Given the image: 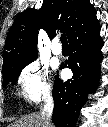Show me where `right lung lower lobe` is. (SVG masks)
I'll list each match as a JSON object with an SVG mask.
<instances>
[{
	"label": "right lung lower lobe",
	"mask_w": 108,
	"mask_h": 127,
	"mask_svg": "<svg viewBox=\"0 0 108 127\" xmlns=\"http://www.w3.org/2000/svg\"><path fill=\"white\" fill-rule=\"evenodd\" d=\"M99 33L95 18L68 40L70 55L65 65L72 70L73 78L65 82L58 75L55 78L52 121L56 127H75L88 93L98 86L103 44Z\"/></svg>",
	"instance_id": "right-lung-lower-lobe-1"
}]
</instances>
